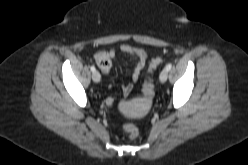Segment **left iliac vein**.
<instances>
[{
    "mask_svg": "<svg viewBox=\"0 0 248 165\" xmlns=\"http://www.w3.org/2000/svg\"><path fill=\"white\" fill-rule=\"evenodd\" d=\"M167 77H168V71L166 69H163L159 75L160 82L164 83L167 80Z\"/></svg>",
    "mask_w": 248,
    "mask_h": 165,
    "instance_id": "left-iliac-vein-1",
    "label": "left iliac vein"
}]
</instances>
